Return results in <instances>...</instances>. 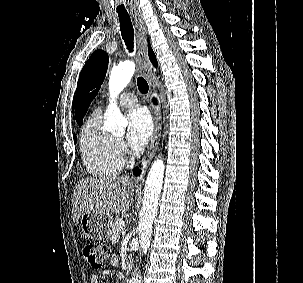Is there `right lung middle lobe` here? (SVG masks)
<instances>
[{
    "mask_svg": "<svg viewBox=\"0 0 303 283\" xmlns=\"http://www.w3.org/2000/svg\"><path fill=\"white\" fill-rule=\"evenodd\" d=\"M74 142L76 143V135H74Z\"/></svg>",
    "mask_w": 303,
    "mask_h": 283,
    "instance_id": "obj_1",
    "label": "right lung middle lobe"
}]
</instances>
